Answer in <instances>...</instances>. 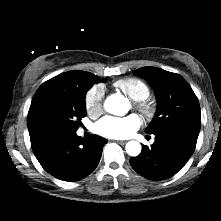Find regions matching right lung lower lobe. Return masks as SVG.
Listing matches in <instances>:
<instances>
[{
    "instance_id": "98d812e1",
    "label": "right lung lower lobe",
    "mask_w": 221,
    "mask_h": 221,
    "mask_svg": "<svg viewBox=\"0 0 221 221\" xmlns=\"http://www.w3.org/2000/svg\"><path fill=\"white\" fill-rule=\"evenodd\" d=\"M107 142L98 135L81 138L76 132H61L50 135L33 152L46 172L74 182L95 170Z\"/></svg>"
}]
</instances>
